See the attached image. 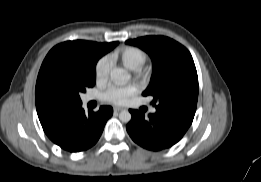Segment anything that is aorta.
I'll list each match as a JSON object with an SVG mask.
<instances>
[{
  "mask_svg": "<svg viewBox=\"0 0 261 182\" xmlns=\"http://www.w3.org/2000/svg\"><path fill=\"white\" fill-rule=\"evenodd\" d=\"M110 78L116 85H123L130 79V74L123 68H114L110 72ZM120 121L128 123L131 120V114L128 110H123L119 114Z\"/></svg>",
  "mask_w": 261,
  "mask_h": 182,
  "instance_id": "1",
  "label": "aorta"
}]
</instances>
